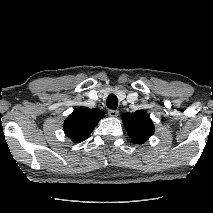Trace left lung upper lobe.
<instances>
[{
    "label": "left lung upper lobe",
    "instance_id": "obj_1",
    "mask_svg": "<svg viewBox=\"0 0 213 213\" xmlns=\"http://www.w3.org/2000/svg\"><path fill=\"white\" fill-rule=\"evenodd\" d=\"M122 118L127 133L135 144H143L154 134L153 122L145 111L125 113Z\"/></svg>",
    "mask_w": 213,
    "mask_h": 213
}]
</instances>
